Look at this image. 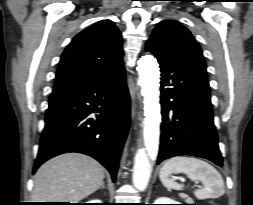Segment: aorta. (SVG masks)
Instances as JSON below:
<instances>
[{"mask_svg": "<svg viewBox=\"0 0 253 205\" xmlns=\"http://www.w3.org/2000/svg\"><path fill=\"white\" fill-rule=\"evenodd\" d=\"M139 85L144 102V144L134 159L133 184L144 191L151 176L149 155L156 154L160 135L161 108L159 102L160 71L157 60L145 55L138 61Z\"/></svg>", "mask_w": 253, "mask_h": 205, "instance_id": "aorta-1", "label": "aorta"}]
</instances>
